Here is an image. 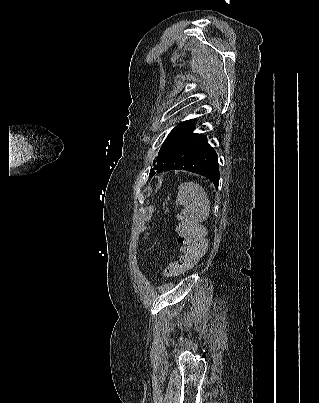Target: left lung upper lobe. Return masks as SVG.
I'll use <instances>...</instances> for the list:
<instances>
[{"label":"left lung upper lobe","instance_id":"obj_1","mask_svg":"<svg viewBox=\"0 0 319 403\" xmlns=\"http://www.w3.org/2000/svg\"><path fill=\"white\" fill-rule=\"evenodd\" d=\"M194 120H187L178 124L177 127L172 129L164 141L156 160L153 161L154 168H151L149 177H153L155 173H161L169 164L172 156L175 154L178 147L185 140L188 132L193 127Z\"/></svg>","mask_w":319,"mask_h":403}]
</instances>
